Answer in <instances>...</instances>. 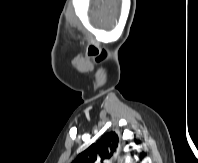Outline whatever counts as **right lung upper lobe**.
<instances>
[{"label": "right lung upper lobe", "mask_w": 198, "mask_h": 163, "mask_svg": "<svg viewBox=\"0 0 198 163\" xmlns=\"http://www.w3.org/2000/svg\"><path fill=\"white\" fill-rule=\"evenodd\" d=\"M118 141V135L111 131L80 153L72 163H103L112 157Z\"/></svg>", "instance_id": "right-lung-upper-lobe-1"}]
</instances>
